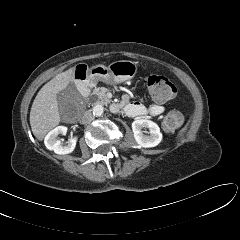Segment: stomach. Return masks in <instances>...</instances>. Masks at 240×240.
I'll list each match as a JSON object with an SVG mask.
<instances>
[{
  "label": "stomach",
  "mask_w": 240,
  "mask_h": 240,
  "mask_svg": "<svg viewBox=\"0 0 240 240\" xmlns=\"http://www.w3.org/2000/svg\"><path fill=\"white\" fill-rule=\"evenodd\" d=\"M137 63L129 60L112 62L108 67L96 65L88 71L92 82L102 81L107 84H117L129 80L137 73Z\"/></svg>",
  "instance_id": "1"
}]
</instances>
